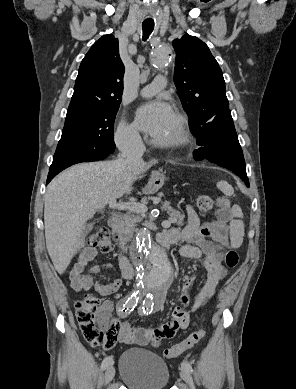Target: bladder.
<instances>
[{
    "label": "bladder",
    "mask_w": 296,
    "mask_h": 389,
    "mask_svg": "<svg viewBox=\"0 0 296 389\" xmlns=\"http://www.w3.org/2000/svg\"><path fill=\"white\" fill-rule=\"evenodd\" d=\"M120 378L130 389H165L170 374L166 362L140 348L125 350L119 360Z\"/></svg>",
    "instance_id": "obj_1"
}]
</instances>
